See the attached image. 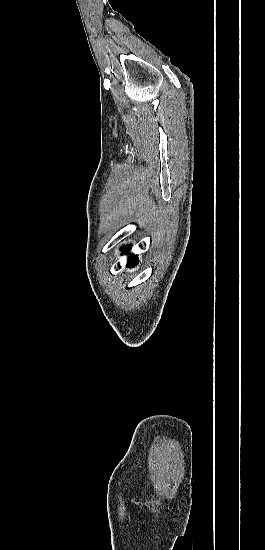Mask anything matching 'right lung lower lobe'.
<instances>
[{"label": "right lung lower lobe", "mask_w": 265, "mask_h": 550, "mask_svg": "<svg viewBox=\"0 0 265 550\" xmlns=\"http://www.w3.org/2000/svg\"><path fill=\"white\" fill-rule=\"evenodd\" d=\"M130 249V246H126L124 249H123V253H126L128 250ZM137 264V256H131L129 258V262H128V266H135Z\"/></svg>", "instance_id": "right-lung-lower-lobe-1"}]
</instances>
